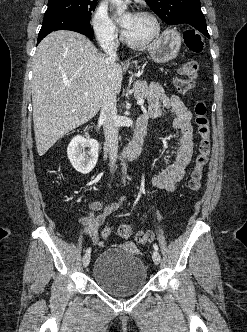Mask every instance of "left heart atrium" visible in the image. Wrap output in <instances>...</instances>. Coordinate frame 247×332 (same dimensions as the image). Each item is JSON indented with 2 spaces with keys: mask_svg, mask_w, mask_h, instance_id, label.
<instances>
[{
  "mask_svg": "<svg viewBox=\"0 0 247 332\" xmlns=\"http://www.w3.org/2000/svg\"><path fill=\"white\" fill-rule=\"evenodd\" d=\"M135 14L133 12H127L125 15H123L119 21L123 28L128 29L133 20H134Z\"/></svg>",
  "mask_w": 247,
  "mask_h": 332,
  "instance_id": "1",
  "label": "left heart atrium"
}]
</instances>
